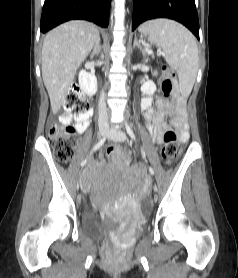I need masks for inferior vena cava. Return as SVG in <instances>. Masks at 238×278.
I'll list each match as a JSON object with an SVG mask.
<instances>
[{"instance_id": "602c4592", "label": "inferior vena cava", "mask_w": 238, "mask_h": 278, "mask_svg": "<svg viewBox=\"0 0 238 278\" xmlns=\"http://www.w3.org/2000/svg\"><path fill=\"white\" fill-rule=\"evenodd\" d=\"M99 126H104L108 128V109L105 103V96L104 93H101L100 100H99V119H98Z\"/></svg>"}]
</instances>
